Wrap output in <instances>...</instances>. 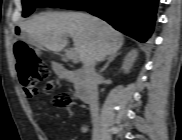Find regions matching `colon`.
<instances>
[{
	"label": "colon",
	"mask_w": 182,
	"mask_h": 140,
	"mask_svg": "<svg viewBox=\"0 0 182 140\" xmlns=\"http://www.w3.org/2000/svg\"><path fill=\"white\" fill-rule=\"evenodd\" d=\"M14 53L17 59V69L28 96L37 93V84L48 78V69L46 64L38 54L25 41L19 40L14 44ZM72 102L69 93H59L54 96L53 104L57 108H65Z\"/></svg>",
	"instance_id": "5ec220e1"
}]
</instances>
